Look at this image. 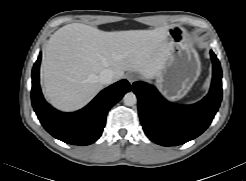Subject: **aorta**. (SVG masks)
Instances as JSON below:
<instances>
[{
    "label": "aorta",
    "mask_w": 246,
    "mask_h": 181,
    "mask_svg": "<svg viewBox=\"0 0 246 181\" xmlns=\"http://www.w3.org/2000/svg\"><path fill=\"white\" fill-rule=\"evenodd\" d=\"M126 106H134L137 103V97L133 92H128L123 97Z\"/></svg>",
    "instance_id": "1"
}]
</instances>
